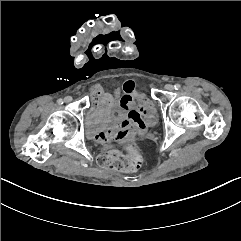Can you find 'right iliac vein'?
I'll return each instance as SVG.
<instances>
[{"label":"right iliac vein","instance_id":"63e3f726","mask_svg":"<svg viewBox=\"0 0 241 241\" xmlns=\"http://www.w3.org/2000/svg\"><path fill=\"white\" fill-rule=\"evenodd\" d=\"M72 101V97L71 96H66L65 98H64V102L65 103H70Z\"/></svg>","mask_w":241,"mask_h":241}]
</instances>
